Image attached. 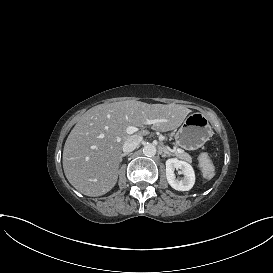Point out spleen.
Wrapping results in <instances>:
<instances>
[{
    "label": "spleen",
    "instance_id": "obj_1",
    "mask_svg": "<svg viewBox=\"0 0 273 273\" xmlns=\"http://www.w3.org/2000/svg\"><path fill=\"white\" fill-rule=\"evenodd\" d=\"M213 176H214V174H210V175L208 176V179H211Z\"/></svg>",
    "mask_w": 273,
    "mask_h": 273
}]
</instances>
